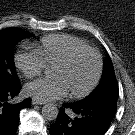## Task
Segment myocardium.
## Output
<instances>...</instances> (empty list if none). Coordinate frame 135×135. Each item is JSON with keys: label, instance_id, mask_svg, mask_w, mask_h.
I'll return each instance as SVG.
<instances>
[{"label": "myocardium", "instance_id": "1", "mask_svg": "<svg viewBox=\"0 0 135 135\" xmlns=\"http://www.w3.org/2000/svg\"><path fill=\"white\" fill-rule=\"evenodd\" d=\"M85 52H90L92 53L95 58H96V72L95 75L92 79V81L90 82V84L81 92L75 93V92H70V96L72 98L75 99H82L87 97L89 94H91V92L96 88V86L98 85L100 78L102 76V72H103V60H102V56L99 53L98 50H96L93 47H81V48H76L73 49L70 53H68L63 59H61L60 61L56 62L53 67H65L70 65L74 59Z\"/></svg>", "mask_w": 135, "mask_h": 135}]
</instances>
